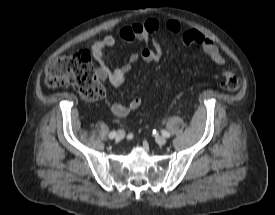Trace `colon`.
<instances>
[{"instance_id":"1","label":"colon","mask_w":275,"mask_h":215,"mask_svg":"<svg viewBox=\"0 0 275 215\" xmlns=\"http://www.w3.org/2000/svg\"><path fill=\"white\" fill-rule=\"evenodd\" d=\"M222 87L236 92L241 87L240 79L230 70L219 73ZM45 83L51 88H74L86 100H99L105 90L97 80L90 54L79 50L69 56L52 58L45 69Z\"/></svg>"}]
</instances>
